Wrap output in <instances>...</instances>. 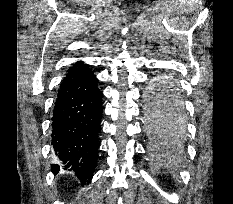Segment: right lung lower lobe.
<instances>
[{
	"mask_svg": "<svg viewBox=\"0 0 233 204\" xmlns=\"http://www.w3.org/2000/svg\"><path fill=\"white\" fill-rule=\"evenodd\" d=\"M98 80L82 62L68 71L58 90L53 111L52 145L65 168L75 171L83 183L91 180L97 163L102 93ZM52 171L60 170L53 164Z\"/></svg>",
	"mask_w": 233,
	"mask_h": 204,
	"instance_id": "98d812e1",
	"label": "right lung lower lobe"
}]
</instances>
